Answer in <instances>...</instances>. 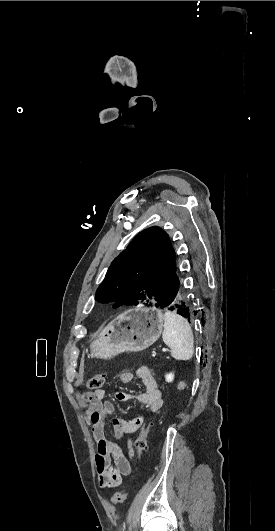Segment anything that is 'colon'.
Segmentation results:
<instances>
[{"mask_svg":"<svg viewBox=\"0 0 275 531\" xmlns=\"http://www.w3.org/2000/svg\"><path fill=\"white\" fill-rule=\"evenodd\" d=\"M105 373H97L94 376H92L89 379L88 382V390L89 391H97L102 389L104 382H105ZM155 423V420L153 418H150L147 422H145L144 426L139 432V437L136 440V449H137V464L138 467H141L142 459H143V453L146 449V438L149 437V435L152 432L153 424ZM128 498V489L121 490L117 493H115L112 498L111 502L114 505L122 504L124 501H126Z\"/></svg>","mask_w":275,"mask_h":531,"instance_id":"5ec220e1","label":"colon"}]
</instances>
